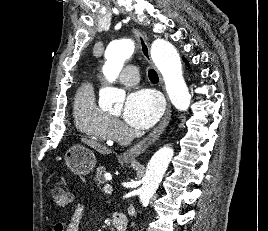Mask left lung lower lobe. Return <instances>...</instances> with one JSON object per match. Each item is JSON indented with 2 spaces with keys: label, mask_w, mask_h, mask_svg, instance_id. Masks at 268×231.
<instances>
[{
  "label": "left lung lower lobe",
  "mask_w": 268,
  "mask_h": 231,
  "mask_svg": "<svg viewBox=\"0 0 268 231\" xmlns=\"http://www.w3.org/2000/svg\"><path fill=\"white\" fill-rule=\"evenodd\" d=\"M184 61L188 64V62L186 60H184Z\"/></svg>",
  "instance_id": "1"
}]
</instances>
